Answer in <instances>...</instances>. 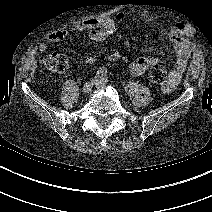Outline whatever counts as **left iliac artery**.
Masks as SVG:
<instances>
[{
    "mask_svg": "<svg viewBox=\"0 0 212 212\" xmlns=\"http://www.w3.org/2000/svg\"><path fill=\"white\" fill-rule=\"evenodd\" d=\"M102 79H103V81H104L105 83L108 82V78H107V77H103Z\"/></svg>",
    "mask_w": 212,
    "mask_h": 212,
    "instance_id": "1",
    "label": "left iliac artery"
}]
</instances>
